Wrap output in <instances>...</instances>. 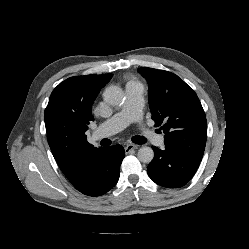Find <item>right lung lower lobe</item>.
Instances as JSON below:
<instances>
[{
	"label": "right lung lower lobe",
	"mask_w": 249,
	"mask_h": 249,
	"mask_svg": "<svg viewBox=\"0 0 249 249\" xmlns=\"http://www.w3.org/2000/svg\"><path fill=\"white\" fill-rule=\"evenodd\" d=\"M124 156V148L119 144L104 147L100 152L83 160L77 168L74 179L69 181L85 195H103L118 182Z\"/></svg>",
	"instance_id": "right-lung-lower-lobe-1"
}]
</instances>
